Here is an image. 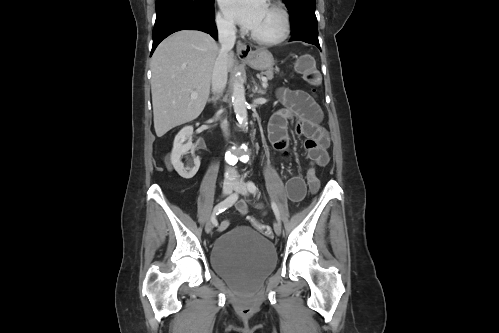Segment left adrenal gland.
Wrapping results in <instances>:
<instances>
[{"instance_id":"1","label":"left adrenal gland","mask_w":499,"mask_h":333,"mask_svg":"<svg viewBox=\"0 0 499 333\" xmlns=\"http://www.w3.org/2000/svg\"><path fill=\"white\" fill-rule=\"evenodd\" d=\"M254 93H260V94H265V91L258 89V86L255 84L253 88Z\"/></svg>"}]
</instances>
